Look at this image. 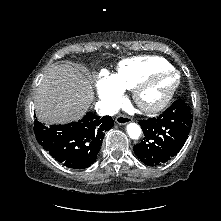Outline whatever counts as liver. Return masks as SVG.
Instances as JSON below:
<instances>
[{
  "instance_id": "obj_1",
  "label": "liver",
  "mask_w": 221,
  "mask_h": 221,
  "mask_svg": "<svg viewBox=\"0 0 221 221\" xmlns=\"http://www.w3.org/2000/svg\"><path fill=\"white\" fill-rule=\"evenodd\" d=\"M94 92L88 76L77 66L51 67L37 88L34 107L46 124H62L80 119L90 108Z\"/></svg>"
}]
</instances>
